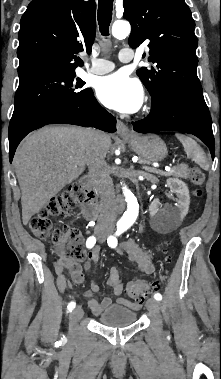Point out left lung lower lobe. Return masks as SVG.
Listing matches in <instances>:
<instances>
[{"label":"left lung lower lobe","mask_w":221,"mask_h":379,"mask_svg":"<svg viewBox=\"0 0 221 379\" xmlns=\"http://www.w3.org/2000/svg\"><path fill=\"white\" fill-rule=\"evenodd\" d=\"M139 133L180 131L200 138L214 157L212 120L204 97L173 91H159L152 97L150 114L132 122Z\"/></svg>","instance_id":"left-lung-lower-lobe-1"}]
</instances>
